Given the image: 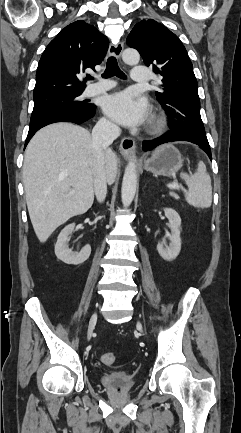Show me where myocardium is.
Segmentation results:
<instances>
[{"instance_id":"obj_1","label":"myocardium","mask_w":241,"mask_h":433,"mask_svg":"<svg viewBox=\"0 0 241 433\" xmlns=\"http://www.w3.org/2000/svg\"><path fill=\"white\" fill-rule=\"evenodd\" d=\"M164 125H165L164 119L161 117H157L153 122L152 128L155 131H160L163 129Z\"/></svg>"}]
</instances>
